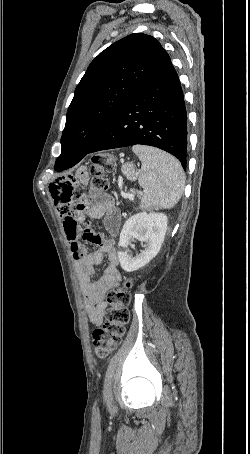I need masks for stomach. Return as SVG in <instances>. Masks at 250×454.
<instances>
[{"mask_svg":"<svg viewBox=\"0 0 250 454\" xmlns=\"http://www.w3.org/2000/svg\"><path fill=\"white\" fill-rule=\"evenodd\" d=\"M122 173L131 180L136 179L138 176V173L135 171L134 165L132 163H126L125 165H123Z\"/></svg>","mask_w":250,"mask_h":454,"instance_id":"1","label":"stomach"}]
</instances>
